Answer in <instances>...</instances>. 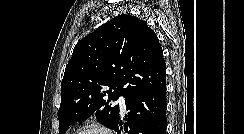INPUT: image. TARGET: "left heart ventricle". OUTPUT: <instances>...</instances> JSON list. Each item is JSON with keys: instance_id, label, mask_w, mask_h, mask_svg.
<instances>
[{"instance_id": "1", "label": "left heart ventricle", "mask_w": 244, "mask_h": 134, "mask_svg": "<svg viewBox=\"0 0 244 134\" xmlns=\"http://www.w3.org/2000/svg\"><path fill=\"white\" fill-rule=\"evenodd\" d=\"M81 134H101V133H99L97 131H86V132H83Z\"/></svg>"}]
</instances>
